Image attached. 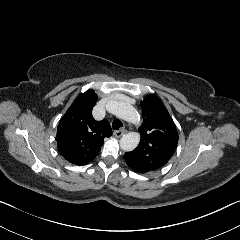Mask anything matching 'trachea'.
I'll return each instance as SVG.
<instances>
[{
	"label": "trachea",
	"instance_id": "obj_1",
	"mask_svg": "<svg viewBox=\"0 0 240 240\" xmlns=\"http://www.w3.org/2000/svg\"><path fill=\"white\" fill-rule=\"evenodd\" d=\"M123 123L119 119H114L112 122V128L114 130H121Z\"/></svg>",
	"mask_w": 240,
	"mask_h": 240
}]
</instances>
